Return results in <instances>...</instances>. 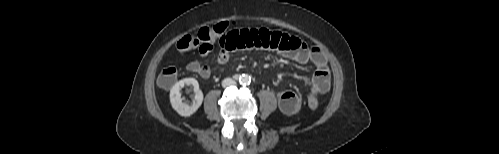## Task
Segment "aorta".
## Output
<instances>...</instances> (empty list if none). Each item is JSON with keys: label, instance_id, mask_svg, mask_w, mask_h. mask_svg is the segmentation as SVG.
Wrapping results in <instances>:
<instances>
[{"label": "aorta", "instance_id": "obj_1", "mask_svg": "<svg viewBox=\"0 0 499 154\" xmlns=\"http://www.w3.org/2000/svg\"><path fill=\"white\" fill-rule=\"evenodd\" d=\"M251 82V77L247 74H242L239 76V83L241 85H249Z\"/></svg>", "mask_w": 499, "mask_h": 154}]
</instances>
